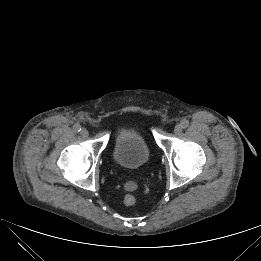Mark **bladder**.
<instances>
[{
    "instance_id": "1",
    "label": "bladder",
    "mask_w": 261,
    "mask_h": 261,
    "mask_svg": "<svg viewBox=\"0 0 261 261\" xmlns=\"http://www.w3.org/2000/svg\"><path fill=\"white\" fill-rule=\"evenodd\" d=\"M113 158L126 170L136 171L145 166L149 158V148L141 128L123 126L116 130Z\"/></svg>"
}]
</instances>
